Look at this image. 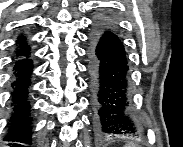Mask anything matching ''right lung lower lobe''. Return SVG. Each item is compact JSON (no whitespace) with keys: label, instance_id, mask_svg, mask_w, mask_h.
<instances>
[{"label":"right lung lower lobe","instance_id":"1","mask_svg":"<svg viewBox=\"0 0 183 147\" xmlns=\"http://www.w3.org/2000/svg\"><path fill=\"white\" fill-rule=\"evenodd\" d=\"M12 80V103L13 113L9 124L8 134L5 141L30 143V122L32 120L30 105L26 97L28 87L30 86V74L32 71V62L27 58L19 59L13 67ZM13 146H17L14 144Z\"/></svg>","mask_w":183,"mask_h":147}]
</instances>
